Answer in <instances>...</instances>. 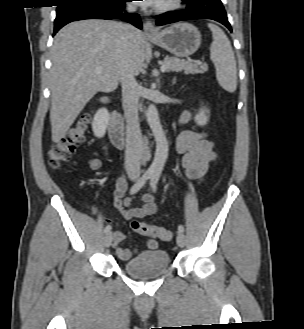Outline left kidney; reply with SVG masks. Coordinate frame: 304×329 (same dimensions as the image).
Masks as SVG:
<instances>
[{
  "mask_svg": "<svg viewBox=\"0 0 304 329\" xmlns=\"http://www.w3.org/2000/svg\"><path fill=\"white\" fill-rule=\"evenodd\" d=\"M206 113H209L208 110L206 109H201L199 111V113H197L195 115V122L198 124V125H206L207 124V121H208V116L206 115Z\"/></svg>",
  "mask_w": 304,
  "mask_h": 329,
  "instance_id": "5707ae66",
  "label": "left kidney"
}]
</instances>
